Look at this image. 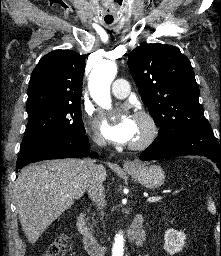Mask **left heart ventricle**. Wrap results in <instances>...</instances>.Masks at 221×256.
<instances>
[{
  "label": "left heart ventricle",
  "mask_w": 221,
  "mask_h": 256,
  "mask_svg": "<svg viewBox=\"0 0 221 256\" xmlns=\"http://www.w3.org/2000/svg\"><path fill=\"white\" fill-rule=\"evenodd\" d=\"M136 123H137V132H136V135H135L133 141L138 140L145 133V125H144L143 121H141L140 119L136 118Z\"/></svg>",
  "instance_id": "obj_1"
}]
</instances>
